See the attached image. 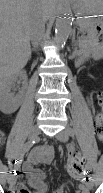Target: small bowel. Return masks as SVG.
Instances as JSON below:
<instances>
[{"instance_id": "obj_1", "label": "small bowel", "mask_w": 103, "mask_h": 193, "mask_svg": "<svg viewBox=\"0 0 103 193\" xmlns=\"http://www.w3.org/2000/svg\"><path fill=\"white\" fill-rule=\"evenodd\" d=\"M91 101L88 100V105L91 106ZM53 149L49 146L40 147L29 155V158L22 165V172L25 174L27 184L30 188L28 193H47L48 187L44 182L46 178V173L42 169L34 168L35 164L39 163H50L53 159ZM16 175L18 173H15ZM14 177V176H12ZM75 179L80 181V185L77 189L74 190V193H89L88 187V174L85 175H77ZM15 180V177L13 181ZM74 186L70 183L63 185L61 188L52 191V193H67L69 189H73ZM24 189L26 188L25 184L16 185L13 188V193H24Z\"/></svg>"}]
</instances>
